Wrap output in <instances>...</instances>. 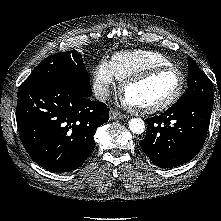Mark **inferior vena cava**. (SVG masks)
I'll return each mask as SVG.
<instances>
[{
  "label": "inferior vena cava",
  "mask_w": 221,
  "mask_h": 221,
  "mask_svg": "<svg viewBox=\"0 0 221 221\" xmlns=\"http://www.w3.org/2000/svg\"><path fill=\"white\" fill-rule=\"evenodd\" d=\"M109 94L110 91L107 85L94 90V96L99 101H106Z\"/></svg>",
  "instance_id": "inferior-vena-cava-1"
}]
</instances>
